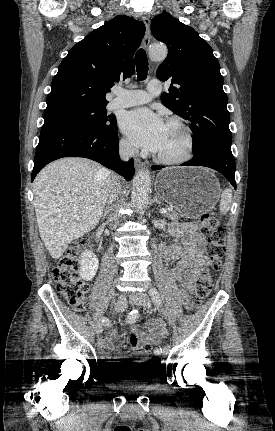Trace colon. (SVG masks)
Masks as SVG:
<instances>
[{
    "mask_svg": "<svg viewBox=\"0 0 275 431\" xmlns=\"http://www.w3.org/2000/svg\"><path fill=\"white\" fill-rule=\"evenodd\" d=\"M199 226L203 233L207 234L206 252L210 265L213 269H219L225 254V236L223 228L217 218L209 213L203 214L199 219ZM88 241L82 239L78 245L70 248L61 256L53 269L52 275L56 283V288L61 296L71 305V307L81 312L85 307V295L88 291V284L83 282L79 276V266L81 255L88 248ZM212 277L209 269L204 268L195 285V298L192 308H198L200 303L208 297L211 291ZM130 343L134 348L139 346V338L136 334L130 336ZM151 346L146 344L144 351H150ZM157 357L149 360L150 365L158 364Z\"/></svg>",
    "mask_w": 275,
    "mask_h": 431,
    "instance_id": "obj_1",
    "label": "colon"
}]
</instances>
